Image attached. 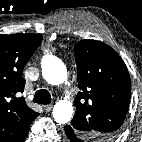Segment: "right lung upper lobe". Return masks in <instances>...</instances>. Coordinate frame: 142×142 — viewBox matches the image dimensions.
I'll return each instance as SVG.
<instances>
[{
  "label": "right lung upper lobe",
  "instance_id": "cb5924a9",
  "mask_svg": "<svg viewBox=\"0 0 142 142\" xmlns=\"http://www.w3.org/2000/svg\"><path fill=\"white\" fill-rule=\"evenodd\" d=\"M42 41L39 34H0V142H24L39 113L30 109L23 93V69Z\"/></svg>",
  "mask_w": 142,
  "mask_h": 142
}]
</instances>
